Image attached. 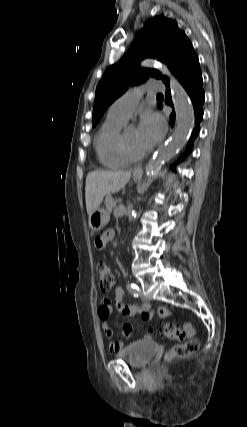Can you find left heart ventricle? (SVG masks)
I'll return each mask as SVG.
<instances>
[{"mask_svg": "<svg viewBox=\"0 0 247 427\" xmlns=\"http://www.w3.org/2000/svg\"><path fill=\"white\" fill-rule=\"evenodd\" d=\"M125 136L127 143L132 151L139 153L146 150L140 141L138 130L136 128L126 129Z\"/></svg>", "mask_w": 247, "mask_h": 427, "instance_id": "b2bd125f", "label": "left heart ventricle"}]
</instances>
